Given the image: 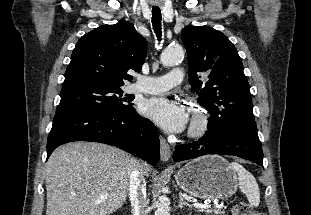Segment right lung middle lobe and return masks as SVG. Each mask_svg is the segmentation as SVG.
Listing matches in <instances>:
<instances>
[{"label":"right lung middle lobe","instance_id":"right-lung-middle-lobe-1","mask_svg":"<svg viewBox=\"0 0 311 215\" xmlns=\"http://www.w3.org/2000/svg\"><path fill=\"white\" fill-rule=\"evenodd\" d=\"M120 87H110L94 83H76L63 86L61 100L56 113L67 110H86L106 114H121L134 111L131 95L122 97Z\"/></svg>","mask_w":311,"mask_h":215}]
</instances>
